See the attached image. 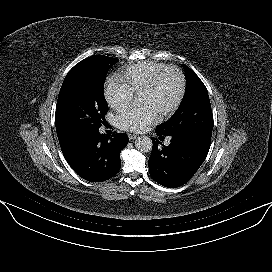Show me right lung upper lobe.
Returning <instances> with one entry per match:
<instances>
[{
    "instance_id": "1",
    "label": "right lung upper lobe",
    "mask_w": 272,
    "mask_h": 272,
    "mask_svg": "<svg viewBox=\"0 0 272 272\" xmlns=\"http://www.w3.org/2000/svg\"><path fill=\"white\" fill-rule=\"evenodd\" d=\"M56 130H57L60 147L64 157L70 155L74 151L75 147L79 145L84 139L82 137L67 135L59 129H56Z\"/></svg>"
}]
</instances>
